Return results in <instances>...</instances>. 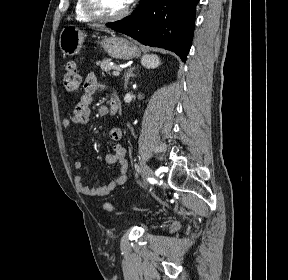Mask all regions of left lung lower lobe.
Wrapping results in <instances>:
<instances>
[{"instance_id":"left-lung-lower-lobe-1","label":"left lung lower lobe","mask_w":288,"mask_h":280,"mask_svg":"<svg viewBox=\"0 0 288 280\" xmlns=\"http://www.w3.org/2000/svg\"><path fill=\"white\" fill-rule=\"evenodd\" d=\"M199 0H141L123 20L106 24L144 45L175 52L183 62L190 50Z\"/></svg>"}]
</instances>
